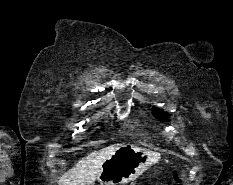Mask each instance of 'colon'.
<instances>
[{"instance_id": "colon-1", "label": "colon", "mask_w": 233, "mask_h": 185, "mask_svg": "<svg viewBox=\"0 0 233 185\" xmlns=\"http://www.w3.org/2000/svg\"><path fill=\"white\" fill-rule=\"evenodd\" d=\"M172 185H181L180 182V177L176 171L172 173Z\"/></svg>"}]
</instances>
